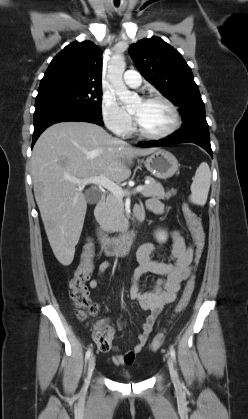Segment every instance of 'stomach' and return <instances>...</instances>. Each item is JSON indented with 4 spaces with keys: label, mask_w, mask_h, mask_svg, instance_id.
<instances>
[{
    "label": "stomach",
    "mask_w": 248,
    "mask_h": 419,
    "mask_svg": "<svg viewBox=\"0 0 248 419\" xmlns=\"http://www.w3.org/2000/svg\"><path fill=\"white\" fill-rule=\"evenodd\" d=\"M144 165L152 175L160 179L172 177L179 167L176 157L162 149H158L148 156Z\"/></svg>",
    "instance_id": "1"
}]
</instances>
